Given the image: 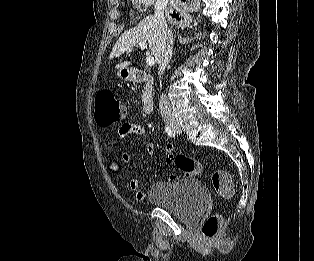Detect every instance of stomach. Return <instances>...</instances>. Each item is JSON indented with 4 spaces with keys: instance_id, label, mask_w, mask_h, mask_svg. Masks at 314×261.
<instances>
[{
    "instance_id": "stomach-1",
    "label": "stomach",
    "mask_w": 314,
    "mask_h": 261,
    "mask_svg": "<svg viewBox=\"0 0 314 261\" xmlns=\"http://www.w3.org/2000/svg\"><path fill=\"white\" fill-rule=\"evenodd\" d=\"M118 77H120L125 82H131L135 79L134 71L128 67L119 69Z\"/></svg>"
}]
</instances>
